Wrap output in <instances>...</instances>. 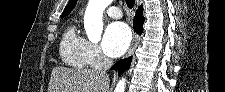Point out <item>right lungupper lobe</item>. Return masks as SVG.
Instances as JSON below:
<instances>
[{"instance_id": "1", "label": "right lung upper lobe", "mask_w": 225, "mask_h": 92, "mask_svg": "<svg viewBox=\"0 0 225 92\" xmlns=\"http://www.w3.org/2000/svg\"><path fill=\"white\" fill-rule=\"evenodd\" d=\"M77 0H69V3L67 5V7L65 8V10L62 13V18L67 16L75 7ZM140 8H142V6H140Z\"/></svg>"}]
</instances>
